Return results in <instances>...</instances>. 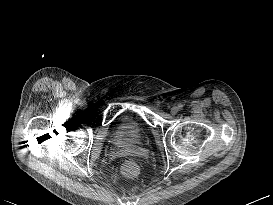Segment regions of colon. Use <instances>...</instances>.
<instances>
[{
    "instance_id": "colon-1",
    "label": "colon",
    "mask_w": 273,
    "mask_h": 205,
    "mask_svg": "<svg viewBox=\"0 0 273 205\" xmlns=\"http://www.w3.org/2000/svg\"><path fill=\"white\" fill-rule=\"evenodd\" d=\"M138 173V166L133 161H126L121 166V174L126 178H133Z\"/></svg>"
}]
</instances>
